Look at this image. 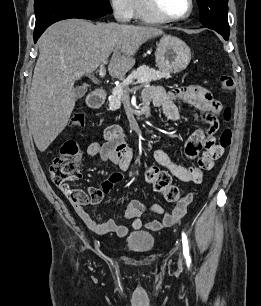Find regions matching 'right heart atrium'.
I'll list each match as a JSON object with an SVG mask.
<instances>
[{
	"instance_id": "d8ad5b80",
	"label": "right heart atrium",
	"mask_w": 261,
	"mask_h": 306,
	"mask_svg": "<svg viewBox=\"0 0 261 306\" xmlns=\"http://www.w3.org/2000/svg\"><path fill=\"white\" fill-rule=\"evenodd\" d=\"M134 0H109L114 17L121 22H127L133 17Z\"/></svg>"
}]
</instances>
